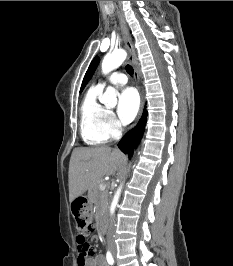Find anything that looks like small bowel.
<instances>
[{
    "label": "small bowel",
    "instance_id": "small-bowel-1",
    "mask_svg": "<svg viewBox=\"0 0 233 266\" xmlns=\"http://www.w3.org/2000/svg\"><path fill=\"white\" fill-rule=\"evenodd\" d=\"M78 266H106V260L104 255L97 254L87 257L82 264H80V259L78 257Z\"/></svg>",
    "mask_w": 233,
    "mask_h": 266
}]
</instances>
